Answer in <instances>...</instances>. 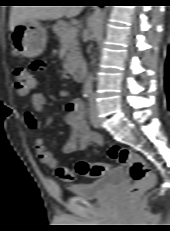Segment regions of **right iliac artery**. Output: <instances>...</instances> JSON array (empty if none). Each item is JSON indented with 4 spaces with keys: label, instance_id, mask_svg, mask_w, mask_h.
Listing matches in <instances>:
<instances>
[{
    "label": "right iliac artery",
    "instance_id": "right-iliac-artery-1",
    "mask_svg": "<svg viewBox=\"0 0 170 231\" xmlns=\"http://www.w3.org/2000/svg\"><path fill=\"white\" fill-rule=\"evenodd\" d=\"M90 89H88V88H85L84 90H83V97L84 98H88L89 97V95H90Z\"/></svg>",
    "mask_w": 170,
    "mask_h": 231
}]
</instances>
